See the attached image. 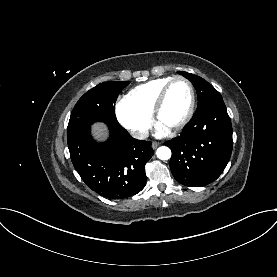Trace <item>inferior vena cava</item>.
<instances>
[{
	"label": "inferior vena cava",
	"instance_id": "obj_1",
	"mask_svg": "<svg viewBox=\"0 0 277 277\" xmlns=\"http://www.w3.org/2000/svg\"><path fill=\"white\" fill-rule=\"evenodd\" d=\"M131 135L136 139H145L149 133L146 130H131Z\"/></svg>",
	"mask_w": 277,
	"mask_h": 277
}]
</instances>
